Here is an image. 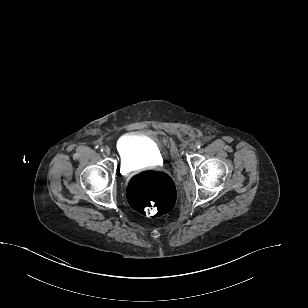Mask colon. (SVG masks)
I'll return each instance as SVG.
<instances>
[{
  "instance_id": "colon-1",
  "label": "colon",
  "mask_w": 308,
  "mask_h": 308,
  "mask_svg": "<svg viewBox=\"0 0 308 308\" xmlns=\"http://www.w3.org/2000/svg\"><path fill=\"white\" fill-rule=\"evenodd\" d=\"M127 197L131 206L143 215L162 216L174 207L176 189L166 173L146 171L131 178Z\"/></svg>"
}]
</instances>
